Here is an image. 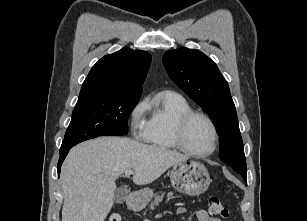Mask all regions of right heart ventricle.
Returning <instances> with one entry per match:
<instances>
[{"instance_id": "right-heart-ventricle-1", "label": "right heart ventricle", "mask_w": 307, "mask_h": 221, "mask_svg": "<svg viewBox=\"0 0 307 221\" xmlns=\"http://www.w3.org/2000/svg\"><path fill=\"white\" fill-rule=\"evenodd\" d=\"M150 118L146 126L145 140L163 149H176L175 126L183 114L192 110L188 101L178 93L165 91L147 103Z\"/></svg>"}]
</instances>
